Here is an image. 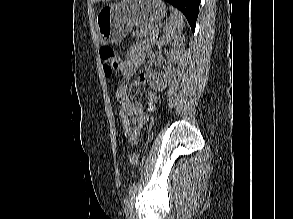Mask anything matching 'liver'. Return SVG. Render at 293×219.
Segmentation results:
<instances>
[{"mask_svg":"<svg viewBox=\"0 0 293 219\" xmlns=\"http://www.w3.org/2000/svg\"><path fill=\"white\" fill-rule=\"evenodd\" d=\"M96 2H99V1H101V0H95Z\"/></svg>","mask_w":293,"mask_h":219,"instance_id":"1","label":"liver"}]
</instances>
